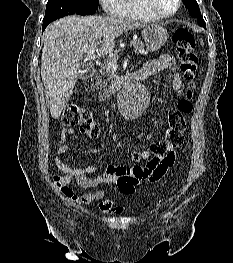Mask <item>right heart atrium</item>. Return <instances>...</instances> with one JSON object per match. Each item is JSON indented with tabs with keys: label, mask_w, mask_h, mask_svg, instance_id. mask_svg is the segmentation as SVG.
Here are the masks:
<instances>
[{
	"label": "right heart atrium",
	"mask_w": 233,
	"mask_h": 263,
	"mask_svg": "<svg viewBox=\"0 0 233 263\" xmlns=\"http://www.w3.org/2000/svg\"><path fill=\"white\" fill-rule=\"evenodd\" d=\"M100 2L107 13L113 14L118 0H100Z\"/></svg>",
	"instance_id": "1"
}]
</instances>
